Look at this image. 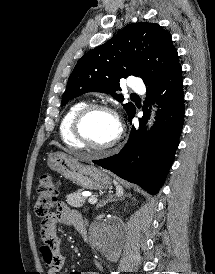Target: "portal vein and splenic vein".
I'll return each instance as SVG.
<instances>
[{
	"label": "portal vein and splenic vein",
	"mask_w": 215,
	"mask_h": 274,
	"mask_svg": "<svg viewBox=\"0 0 215 274\" xmlns=\"http://www.w3.org/2000/svg\"><path fill=\"white\" fill-rule=\"evenodd\" d=\"M84 196H86V195L84 194ZM88 202L90 204H95V203H97V198L92 196L88 199Z\"/></svg>",
	"instance_id": "obj_1"
}]
</instances>
